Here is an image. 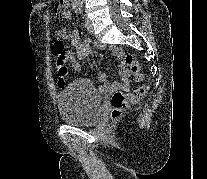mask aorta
<instances>
[{
    "instance_id": "aorta-1",
    "label": "aorta",
    "mask_w": 207,
    "mask_h": 179,
    "mask_svg": "<svg viewBox=\"0 0 207 179\" xmlns=\"http://www.w3.org/2000/svg\"><path fill=\"white\" fill-rule=\"evenodd\" d=\"M84 0H73L74 4L81 5Z\"/></svg>"
}]
</instances>
